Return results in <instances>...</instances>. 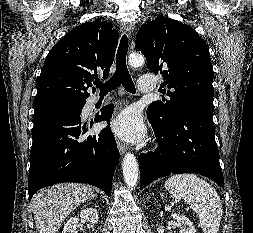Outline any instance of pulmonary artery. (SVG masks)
Here are the masks:
<instances>
[{
    "label": "pulmonary artery",
    "mask_w": 253,
    "mask_h": 233,
    "mask_svg": "<svg viewBox=\"0 0 253 233\" xmlns=\"http://www.w3.org/2000/svg\"><path fill=\"white\" fill-rule=\"evenodd\" d=\"M156 85V80L152 77L142 76L138 79V89L143 93L153 92Z\"/></svg>",
    "instance_id": "1"
}]
</instances>
